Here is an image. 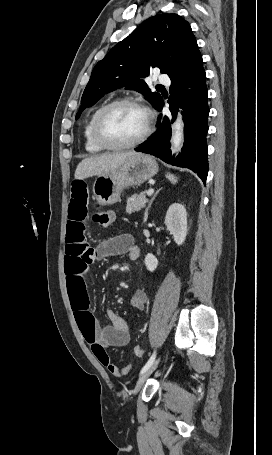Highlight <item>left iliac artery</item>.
Segmentation results:
<instances>
[{"mask_svg": "<svg viewBox=\"0 0 272 455\" xmlns=\"http://www.w3.org/2000/svg\"><path fill=\"white\" fill-rule=\"evenodd\" d=\"M155 356H156V353L154 352L151 357L149 358L148 362L144 365V367L142 368L140 374H143L154 362L155 360Z\"/></svg>", "mask_w": 272, "mask_h": 455, "instance_id": "44dca946", "label": "left iliac artery"}]
</instances>
